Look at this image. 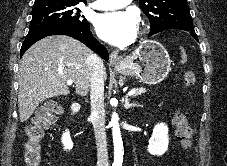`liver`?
I'll return each instance as SVG.
<instances>
[{
	"label": "liver",
	"instance_id": "1",
	"mask_svg": "<svg viewBox=\"0 0 227 166\" xmlns=\"http://www.w3.org/2000/svg\"><path fill=\"white\" fill-rule=\"evenodd\" d=\"M93 56L83 43L65 35L49 36L32 45L19 66L20 121H27L44 100L68 95V80L73 81L78 95H87Z\"/></svg>",
	"mask_w": 227,
	"mask_h": 166
}]
</instances>
